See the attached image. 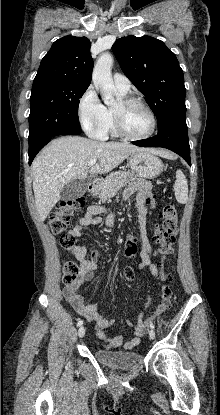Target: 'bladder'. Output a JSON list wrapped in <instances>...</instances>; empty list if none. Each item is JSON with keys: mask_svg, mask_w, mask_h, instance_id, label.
<instances>
[{"mask_svg": "<svg viewBox=\"0 0 220 415\" xmlns=\"http://www.w3.org/2000/svg\"><path fill=\"white\" fill-rule=\"evenodd\" d=\"M94 356L101 363L119 369H131L142 362V355L135 351H114L105 348H98Z\"/></svg>", "mask_w": 220, "mask_h": 415, "instance_id": "31cf9c89", "label": "bladder"}]
</instances>
